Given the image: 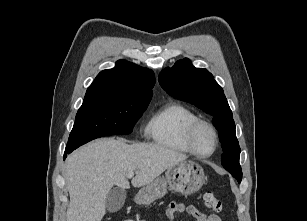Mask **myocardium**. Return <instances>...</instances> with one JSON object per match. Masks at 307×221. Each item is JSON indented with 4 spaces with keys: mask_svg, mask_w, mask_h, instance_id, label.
I'll use <instances>...</instances> for the list:
<instances>
[{
    "mask_svg": "<svg viewBox=\"0 0 307 221\" xmlns=\"http://www.w3.org/2000/svg\"><path fill=\"white\" fill-rule=\"evenodd\" d=\"M201 127L207 128L211 132L213 136V140H214V145H213L212 150L206 154L199 152L194 143L195 134ZM184 143L186 147L188 148V150L193 155L199 158H208L212 156L217 150L219 139H218V134H217L215 127L210 122L203 120V119H197L193 121L192 123H190L188 127L186 128V131L184 133Z\"/></svg>",
    "mask_w": 307,
    "mask_h": 221,
    "instance_id": "1",
    "label": "myocardium"
}]
</instances>
